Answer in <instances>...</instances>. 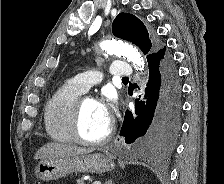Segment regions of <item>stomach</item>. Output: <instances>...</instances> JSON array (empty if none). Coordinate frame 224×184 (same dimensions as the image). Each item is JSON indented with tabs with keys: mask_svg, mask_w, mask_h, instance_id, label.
I'll return each mask as SVG.
<instances>
[{
	"mask_svg": "<svg viewBox=\"0 0 224 184\" xmlns=\"http://www.w3.org/2000/svg\"><path fill=\"white\" fill-rule=\"evenodd\" d=\"M112 169H114V163L102 153L80 154L41 160L36 167L35 175L42 181H51L73 172L104 173Z\"/></svg>",
	"mask_w": 224,
	"mask_h": 184,
	"instance_id": "obj_1",
	"label": "stomach"
}]
</instances>
